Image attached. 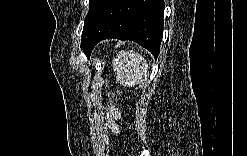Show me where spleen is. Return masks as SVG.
Masks as SVG:
<instances>
[{
	"instance_id": "spleen-1",
	"label": "spleen",
	"mask_w": 247,
	"mask_h": 156,
	"mask_svg": "<svg viewBox=\"0 0 247 156\" xmlns=\"http://www.w3.org/2000/svg\"><path fill=\"white\" fill-rule=\"evenodd\" d=\"M116 80L123 86H134L147 80L149 65L138 52L122 50L112 62Z\"/></svg>"
}]
</instances>
